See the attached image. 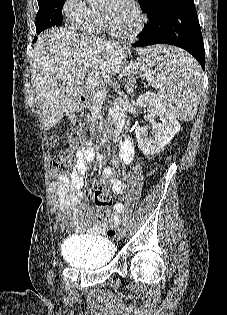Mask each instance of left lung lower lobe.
I'll use <instances>...</instances> for the list:
<instances>
[{"label": "left lung lower lobe", "instance_id": "obj_1", "mask_svg": "<svg viewBox=\"0 0 227 315\" xmlns=\"http://www.w3.org/2000/svg\"><path fill=\"white\" fill-rule=\"evenodd\" d=\"M134 47L170 44L192 54L205 69V50L193 0L170 4L149 17Z\"/></svg>", "mask_w": 227, "mask_h": 315}]
</instances>
